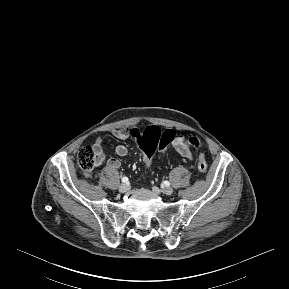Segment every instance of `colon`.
<instances>
[{
  "label": "colon",
  "mask_w": 289,
  "mask_h": 289,
  "mask_svg": "<svg viewBox=\"0 0 289 289\" xmlns=\"http://www.w3.org/2000/svg\"><path fill=\"white\" fill-rule=\"evenodd\" d=\"M132 135L137 140L146 166H150L152 157L156 151L165 153L168 146L176 139V134L173 130L168 129L162 131L157 126H149L142 132L139 130H132ZM188 143L196 149H201V142L196 137L188 138ZM77 161L80 169L87 177L92 175L95 168L100 163L98 153L90 146L82 147L79 150ZM197 167L201 174L207 172V162L202 152L199 153Z\"/></svg>",
  "instance_id": "5ec220e1"
}]
</instances>
